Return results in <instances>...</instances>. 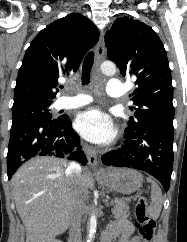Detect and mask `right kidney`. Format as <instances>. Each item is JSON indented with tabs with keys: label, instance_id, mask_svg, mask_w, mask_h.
<instances>
[{
	"label": "right kidney",
	"instance_id": "obj_1",
	"mask_svg": "<svg viewBox=\"0 0 187 242\" xmlns=\"http://www.w3.org/2000/svg\"><path fill=\"white\" fill-rule=\"evenodd\" d=\"M51 242H60V241H58V240H53V241H51Z\"/></svg>",
	"mask_w": 187,
	"mask_h": 242
}]
</instances>
